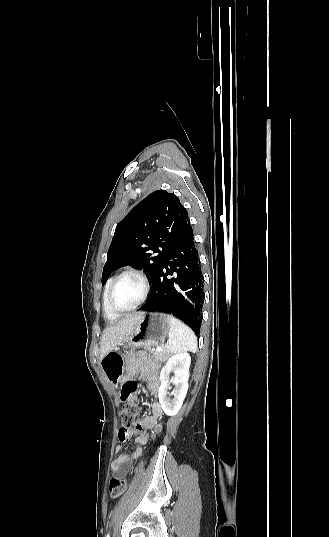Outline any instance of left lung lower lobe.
I'll list each match as a JSON object with an SVG mask.
<instances>
[{
  "instance_id": "0a47b994",
  "label": "left lung lower lobe",
  "mask_w": 329,
  "mask_h": 537,
  "mask_svg": "<svg viewBox=\"0 0 329 537\" xmlns=\"http://www.w3.org/2000/svg\"><path fill=\"white\" fill-rule=\"evenodd\" d=\"M202 293L203 276L190 225L157 268L151 294L141 310L173 314L198 334Z\"/></svg>"
}]
</instances>
